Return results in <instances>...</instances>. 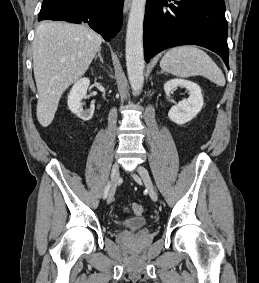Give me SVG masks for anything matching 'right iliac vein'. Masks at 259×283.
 I'll list each match as a JSON object with an SVG mask.
<instances>
[{
    "instance_id": "63e3f726",
    "label": "right iliac vein",
    "mask_w": 259,
    "mask_h": 283,
    "mask_svg": "<svg viewBox=\"0 0 259 283\" xmlns=\"http://www.w3.org/2000/svg\"><path fill=\"white\" fill-rule=\"evenodd\" d=\"M118 179H119V164L114 163L113 166H112V170H111L112 186H111V189L109 191V195H108V199H107L108 203H111L114 199V194H115Z\"/></svg>"
}]
</instances>
